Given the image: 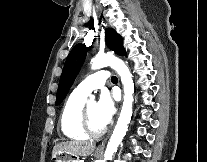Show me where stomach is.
<instances>
[{
  "mask_svg": "<svg viewBox=\"0 0 207 162\" xmlns=\"http://www.w3.org/2000/svg\"><path fill=\"white\" fill-rule=\"evenodd\" d=\"M95 156L99 157V152H95ZM52 162H79L78 157L75 158V156L67 154V153H56L52 155L51 158Z\"/></svg>",
  "mask_w": 207,
  "mask_h": 162,
  "instance_id": "stomach-1",
  "label": "stomach"
}]
</instances>
